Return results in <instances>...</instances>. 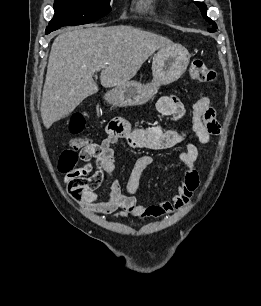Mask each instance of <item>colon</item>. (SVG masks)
<instances>
[{
	"label": "colon",
	"mask_w": 261,
	"mask_h": 306,
	"mask_svg": "<svg viewBox=\"0 0 261 306\" xmlns=\"http://www.w3.org/2000/svg\"><path fill=\"white\" fill-rule=\"evenodd\" d=\"M191 79L196 83H209L216 79L214 70L208 68L200 59H195L191 62L189 68ZM85 125L84 117L77 113L74 114L69 123V129L72 134L82 132ZM71 148L65 150L59 160V168L62 172L68 173L67 184L69 192L75 201H81L82 192L93 187V184L87 181L79 172L74 170L78 154L77 151L83 154V157H88L96 160L99 164L104 159V152L99 144L92 143L89 139L83 137H75L70 142Z\"/></svg>",
	"instance_id": "colon-1"
}]
</instances>
